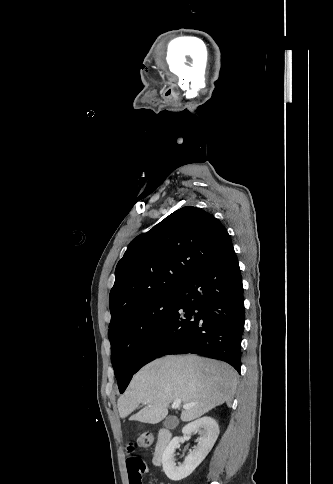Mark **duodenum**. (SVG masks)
Listing matches in <instances>:
<instances>
[{
    "label": "duodenum",
    "mask_w": 333,
    "mask_h": 484,
    "mask_svg": "<svg viewBox=\"0 0 333 484\" xmlns=\"http://www.w3.org/2000/svg\"><path fill=\"white\" fill-rule=\"evenodd\" d=\"M171 440V434L168 430L162 429L158 436V442L155 449V460L159 463L164 455L165 449Z\"/></svg>",
    "instance_id": "410a0bca"
}]
</instances>
